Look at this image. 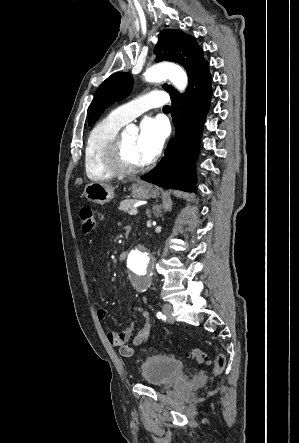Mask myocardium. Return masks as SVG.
<instances>
[{"instance_id":"obj_1","label":"myocardium","mask_w":299,"mask_h":443,"mask_svg":"<svg viewBox=\"0 0 299 443\" xmlns=\"http://www.w3.org/2000/svg\"><path fill=\"white\" fill-rule=\"evenodd\" d=\"M107 167L117 175H134L146 168V164L131 166L126 163L123 152V139L117 135L113 142L107 147L105 153Z\"/></svg>"}]
</instances>
